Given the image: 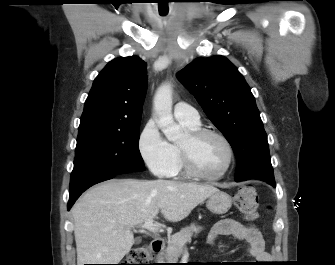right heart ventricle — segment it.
I'll use <instances>...</instances> for the list:
<instances>
[{"mask_svg":"<svg viewBox=\"0 0 335 265\" xmlns=\"http://www.w3.org/2000/svg\"><path fill=\"white\" fill-rule=\"evenodd\" d=\"M182 125L187 127L189 130H196L200 128V124L192 125L185 122L180 121ZM174 151H175V164L171 170V172L167 175L168 177H185L187 176V173L184 171L181 155L179 151V147L176 144H172Z\"/></svg>","mask_w":335,"mask_h":265,"instance_id":"right-heart-ventricle-1","label":"right heart ventricle"}]
</instances>
